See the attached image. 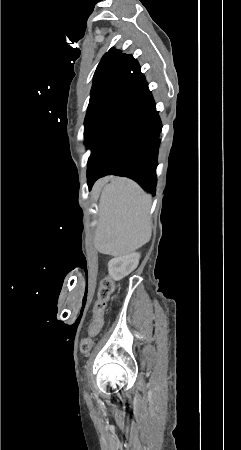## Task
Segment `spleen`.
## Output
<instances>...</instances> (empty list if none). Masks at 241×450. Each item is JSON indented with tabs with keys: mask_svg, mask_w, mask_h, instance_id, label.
Returning a JSON list of instances; mask_svg holds the SVG:
<instances>
[{
	"mask_svg": "<svg viewBox=\"0 0 241 450\" xmlns=\"http://www.w3.org/2000/svg\"><path fill=\"white\" fill-rule=\"evenodd\" d=\"M151 196L128 178H113L98 204L95 248L108 256H128L151 238Z\"/></svg>",
	"mask_w": 241,
	"mask_h": 450,
	"instance_id": "1",
	"label": "spleen"
}]
</instances>
